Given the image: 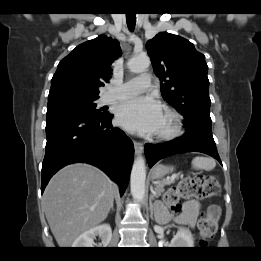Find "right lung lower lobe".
<instances>
[{"mask_svg":"<svg viewBox=\"0 0 261 261\" xmlns=\"http://www.w3.org/2000/svg\"><path fill=\"white\" fill-rule=\"evenodd\" d=\"M113 115L66 113L47 118L46 150L42 165L43 193L50 178L70 163H89L102 169L124 193L134 158L132 141L112 128Z\"/></svg>","mask_w":261,"mask_h":261,"instance_id":"98d812e1","label":"right lung lower lobe"}]
</instances>
